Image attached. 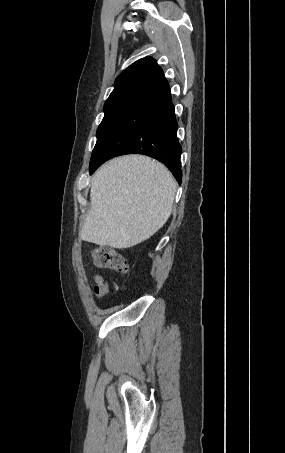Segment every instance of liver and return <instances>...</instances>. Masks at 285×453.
Wrapping results in <instances>:
<instances>
[{"instance_id":"1","label":"liver","mask_w":285,"mask_h":453,"mask_svg":"<svg viewBox=\"0 0 285 453\" xmlns=\"http://www.w3.org/2000/svg\"><path fill=\"white\" fill-rule=\"evenodd\" d=\"M176 183L160 162L142 155L115 158L91 181V207L80 238L116 249L133 247L168 220Z\"/></svg>"}]
</instances>
